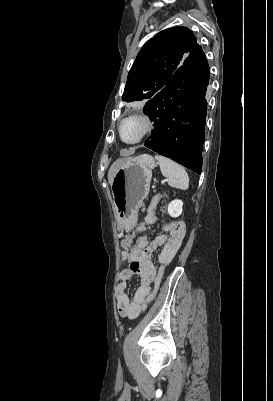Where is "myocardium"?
I'll return each mask as SVG.
<instances>
[{"mask_svg":"<svg viewBox=\"0 0 273 401\" xmlns=\"http://www.w3.org/2000/svg\"><path fill=\"white\" fill-rule=\"evenodd\" d=\"M128 119H135L138 122H140V124L142 125V132H141L140 136L132 142H126L121 137V126ZM154 129H155V121L152 116H150L147 113H142V112L130 113L118 122L117 135H118L119 140L123 144H125L127 146H133V145H137V144L143 142L145 139H147L153 133Z\"/></svg>","mask_w":273,"mask_h":401,"instance_id":"1","label":"myocardium"}]
</instances>
